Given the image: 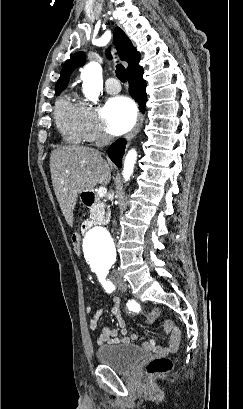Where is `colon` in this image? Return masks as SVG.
<instances>
[{"label": "colon", "mask_w": 243, "mask_h": 409, "mask_svg": "<svg viewBox=\"0 0 243 409\" xmlns=\"http://www.w3.org/2000/svg\"><path fill=\"white\" fill-rule=\"evenodd\" d=\"M72 245L73 250L76 254L81 253V246H80V236L78 234H74L72 236ZM160 314V310L155 308L153 309L146 317V322H151L155 320ZM173 367L172 360L169 357H158L151 360L146 366V373L149 376H158L169 372Z\"/></svg>", "instance_id": "colon-1"}]
</instances>
